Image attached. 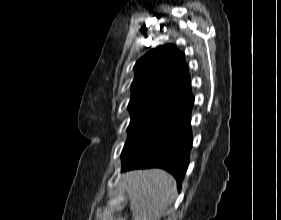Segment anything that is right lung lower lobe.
Masks as SVG:
<instances>
[{"mask_svg": "<svg viewBox=\"0 0 281 220\" xmlns=\"http://www.w3.org/2000/svg\"><path fill=\"white\" fill-rule=\"evenodd\" d=\"M193 103L175 115L168 124L128 163L122 171L159 167L169 171L181 188L192 147L191 110Z\"/></svg>", "mask_w": 281, "mask_h": 220, "instance_id": "right-lung-lower-lobe-1", "label": "right lung lower lobe"}]
</instances>
